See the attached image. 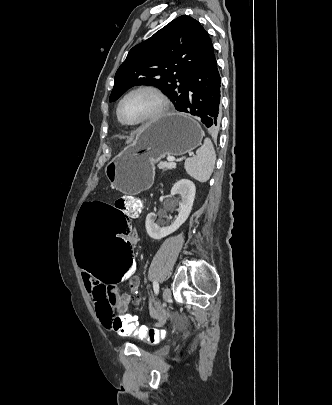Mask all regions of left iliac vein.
I'll list each match as a JSON object with an SVG mask.
<instances>
[{
    "label": "left iliac vein",
    "instance_id": "1",
    "mask_svg": "<svg viewBox=\"0 0 332 405\" xmlns=\"http://www.w3.org/2000/svg\"><path fill=\"white\" fill-rule=\"evenodd\" d=\"M170 299H171V290L168 287H166L163 290L162 300L163 302L167 303L170 301Z\"/></svg>",
    "mask_w": 332,
    "mask_h": 405
}]
</instances>
